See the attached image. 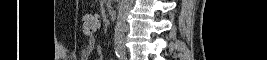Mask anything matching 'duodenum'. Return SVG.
I'll list each match as a JSON object with an SVG mask.
<instances>
[{
  "label": "duodenum",
  "mask_w": 267,
  "mask_h": 60,
  "mask_svg": "<svg viewBox=\"0 0 267 60\" xmlns=\"http://www.w3.org/2000/svg\"><path fill=\"white\" fill-rule=\"evenodd\" d=\"M117 10L116 9H110L109 10V17L112 19V20H116L117 19Z\"/></svg>",
  "instance_id": "1"
}]
</instances>
